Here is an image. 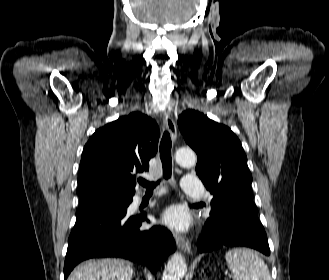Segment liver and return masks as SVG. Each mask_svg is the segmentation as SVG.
Returning <instances> with one entry per match:
<instances>
[{"label": "liver", "mask_w": 329, "mask_h": 280, "mask_svg": "<svg viewBox=\"0 0 329 280\" xmlns=\"http://www.w3.org/2000/svg\"><path fill=\"white\" fill-rule=\"evenodd\" d=\"M132 264L122 259L87 261L78 266L67 280H132Z\"/></svg>", "instance_id": "6515ba94"}]
</instances>
